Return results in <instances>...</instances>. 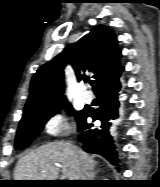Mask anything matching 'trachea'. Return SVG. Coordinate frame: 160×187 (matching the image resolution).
<instances>
[{"mask_svg": "<svg viewBox=\"0 0 160 187\" xmlns=\"http://www.w3.org/2000/svg\"><path fill=\"white\" fill-rule=\"evenodd\" d=\"M94 84V82H91V85H93Z\"/></svg>", "mask_w": 160, "mask_h": 187, "instance_id": "trachea-1", "label": "trachea"}]
</instances>
